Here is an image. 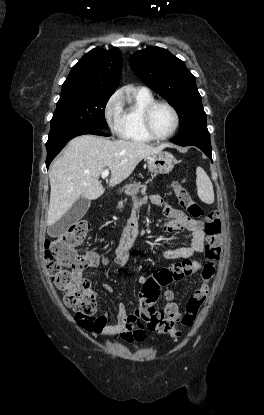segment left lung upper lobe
<instances>
[{"mask_svg":"<svg viewBox=\"0 0 264 415\" xmlns=\"http://www.w3.org/2000/svg\"><path fill=\"white\" fill-rule=\"evenodd\" d=\"M129 64L145 84L176 109L180 119L178 137L207 128L195 76L182 60L165 49L150 47L134 53Z\"/></svg>","mask_w":264,"mask_h":415,"instance_id":"left-lung-upper-lobe-1","label":"left lung upper lobe"}]
</instances>
